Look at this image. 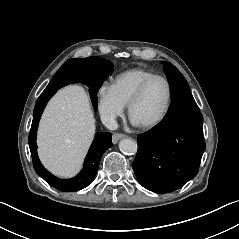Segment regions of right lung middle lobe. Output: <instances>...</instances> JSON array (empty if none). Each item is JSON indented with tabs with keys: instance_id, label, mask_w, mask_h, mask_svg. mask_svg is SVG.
<instances>
[{
	"instance_id": "right-lung-middle-lobe-1",
	"label": "right lung middle lobe",
	"mask_w": 239,
	"mask_h": 239,
	"mask_svg": "<svg viewBox=\"0 0 239 239\" xmlns=\"http://www.w3.org/2000/svg\"><path fill=\"white\" fill-rule=\"evenodd\" d=\"M52 84H53V82H52V80H51L50 83L48 84V86L46 87V89H45L44 91L49 90V89L51 88Z\"/></svg>"
}]
</instances>
